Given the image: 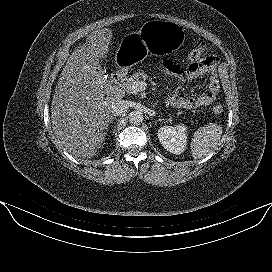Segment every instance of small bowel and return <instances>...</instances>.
I'll list each match as a JSON object with an SVG mask.
<instances>
[{"label": "small bowel", "instance_id": "1", "mask_svg": "<svg viewBox=\"0 0 272 272\" xmlns=\"http://www.w3.org/2000/svg\"><path fill=\"white\" fill-rule=\"evenodd\" d=\"M200 49L202 48L200 47ZM217 62L218 60L214 56H204L199 62L191 64L185 71L171 61L165 62L163 71L167 75L186 82L194 81L204 74L210 75V81L202 93L191 97L173 93L168 97V103L172 107L182 109H196L211 104L219 91V80L216 73Z\"/></svg>", "mask_w": 272, "mask_h": 272}]
</instances>
